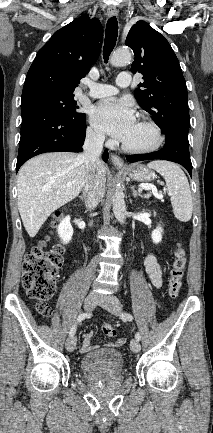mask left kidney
Wrapping results in <instances>:
<instances>
[{"label":"left kidney","mask_w":213,"mask_h":433,"mask_svg":"<svg viewBox=\"0 0 213 433\" xmlns=\"http://www.w3.org/2000/svg\"><path fill=\"white\" fill-rule=\"evenodd\" d=\"M162 232H163V229L160 226H158L156 229H154L152 231L151 237H152L153 243L158 244L161 241Z\"/></svg>","instance_id":"1"}]
</instances>
